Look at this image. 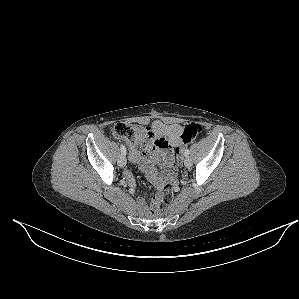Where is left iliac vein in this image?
<instances>
[{"label":"left iliac vein","mask_w":299,"mask_h":299,"mask_svg":"<svg viewBox=\"0 0 299 299\" xmlns=\"http://www.w3.org/2000/svg\"><path fill=\"white\" fill-rule=\"evenodd\" d=\"M184 164L187 168L192 166V160L189 157H186L184 160Z\"/></svg>","instance_id":"obj_1"}]
</instances>
